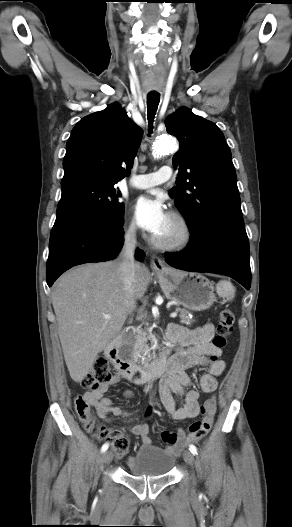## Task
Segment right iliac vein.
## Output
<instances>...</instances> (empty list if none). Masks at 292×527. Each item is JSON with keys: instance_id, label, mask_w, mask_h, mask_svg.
Segmentation results:
<instances>
[{"instance_id": "1", "label": "right iliac vein", "mask_w": 292, "mask_h": 527, "mask_svg": "<svg viewBox=\"0 0 292 527\" xmlns=\"http://www.w3.org/2000/svg\"><path fill=\"white\" fill-rule=\"evenodd\" d=\"M112 454L110 451H107L103 454L102 460L105 464H109L112 461Z\"/></svg>"}]
</instances>
